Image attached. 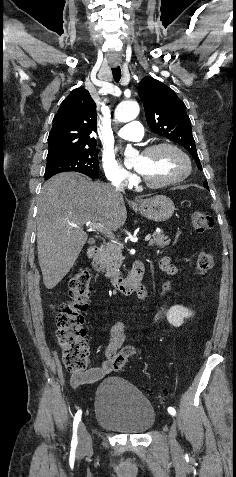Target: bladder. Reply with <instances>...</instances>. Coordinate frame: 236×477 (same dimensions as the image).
<instances>
[{"mask_svg": "<svg viewBox=\"0 0 236 477\" xmlns=\"http://www.w3.org/2000/svg\"><path fill=\"white\" fill-rule=\"evenodd\" d=\"M94 414L99 425L123 434H143L156 421L151 402L120 377H108L100 383L94 398Z\"/></svg>", "mask_w": 236, "mask_h": 477, "instance_id": "1", "label": "bladder"}]
</instances>
